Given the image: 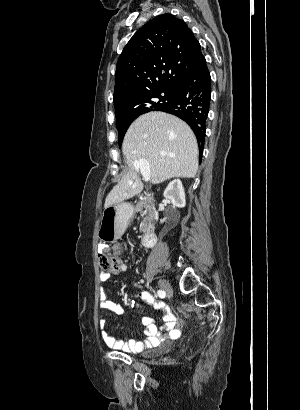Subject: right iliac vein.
<instances>
[{"mask_svg":"<svg viewBox=\"0 0 300 410\" xmlns=\"http://www.w3.org/2000/svg\"><path fill=\"white\" fill-rule=\"evenodd\" d=\"M158 285L161 290H163L166 293H171L172 292V287L171 285L166 281V280H159Z\"/></svg>","mask_w":300,"mask_h":410,"instance_id":"1","label":"right iliac vein"}]
</instances>
